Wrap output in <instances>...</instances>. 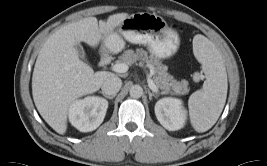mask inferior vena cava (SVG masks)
Returning <instances> with one entry per match:
<instances>
[{
  "label": "inferior vena cava",
  "mask_w": 267,
  "mask_h": 166,
  "mask_svg": "<svg viewBox=\"0 0 267 166\" xmlns=\"http://www.w3.org/2000/svg\"><path fill=\"white\" fill-rule=\"evenodd\" d=\"M121 86V79L117 76H111L103 82L101 89L105 95L115 96L119 92Z\"/></svg>",
  "instance_id": "1"
}]
</instances>
